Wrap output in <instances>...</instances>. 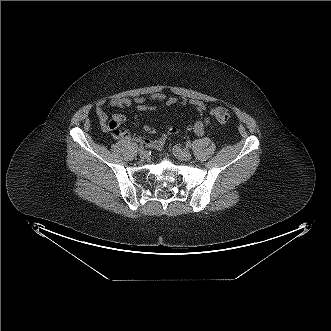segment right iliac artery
<instances>
[{"instance_id": "1", "label": "right iliac artery", "mask_w": 331, "mask_h": 331, "mask_svg": "<svg viewBox=\"0 0 331 331\" xmlns=\"http://www.w3.org/2000/svg\"><path fill=\"white\" fill-rule=\"evenodd\" d=\"M142 150H144V146H141V147L139 148V151H142Z\"/></svg>"}]
</instances>
